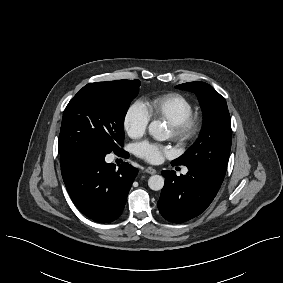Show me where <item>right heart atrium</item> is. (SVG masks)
Instances as JSON below:
<instances>
[{"mask_svg":"<svg viewBox=\"0 0 283 283\" xmlns=\"http://www.w3.org/2000/svg\"><path fill=\"white\" fill-rule=\"evenodd\" d=\"M150 116L140 101L133 102L124 115V128L129 137L140 138L146 132Z\"/></svg>","mask_w":283,"mask_h":283,"instance_id":"1","label":"right heart atrium"}]
</instances>
